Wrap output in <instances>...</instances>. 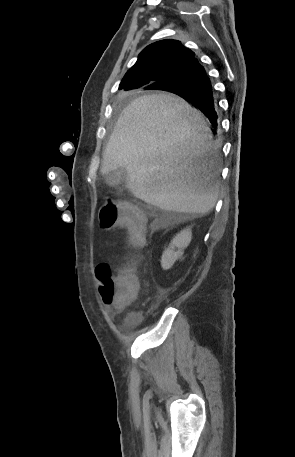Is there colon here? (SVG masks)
Listing matches in <instances>:
<instances>
[{
	"label": "colon",
	"mask_w": 295,
	"mask_h": 457,
	"mask_svg": "<svg viewBox=\"0 0 295 457\" xmlns=\"http://www.w3.org/2000/svg\"><path fill=\"white\" fill-rule=\"evenodd\" d=\"M99 222L104 229L117 225L125 227L130 232L131 242L135 247L144 245L145 216L133 204L108 200L100 209ZM96 276L100 282L99 290L103 302L116 310L131 304L138 294L139 281L132 268L114 275L108 265L100 264L96 268Z\"/></svg>",
	"instance_id": "obj_1"
}]
</instances>
